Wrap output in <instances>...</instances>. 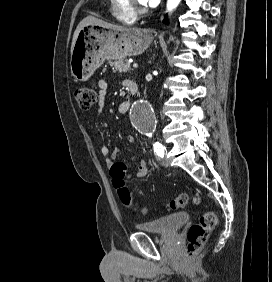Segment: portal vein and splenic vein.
I'll return each mask as SVG.
<instances>
[{"label": "portal vein and splenic vein", "mask_w": 272, "mask_h": 282, "mask_svg": "<svg viewBox=\"0 0 272 282\" xmlns=\"http://www.w3.org/2000/svg\"><path fill=\"white\" fill-rule=\"evenodd\" d=\"M138 64L137 63H133V68H137Z\"/></svg>", "instance_id": "1"}]
</instances>
